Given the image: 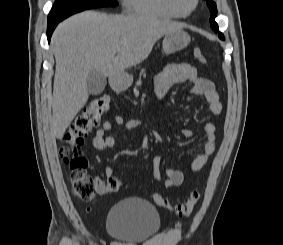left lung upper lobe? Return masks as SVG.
Returning <instances> with one entry per match:
<instances>
[{
    "label": "left lung upper lobe",
    "instance_id": "1",
    "mask_svg": "<svg viewBox=\"0 0 283 245\" xmlns=\"http://www.w3.org/2000/svg\"><path fill=\"white\" fill-rule=\"evenodd\" d=\"M207 5L210 9V12H211V17H210V25H211V28L215 31V32H218L219 33V38L220 39H223L224 40V36L221 32H219L218 30V25L217 23L215 22V17L217 15V8H216V4L212 1V0H207Z\"/></svg>",
    "mask_w": 283,
    "mask_h": 245
}]
</instances>
